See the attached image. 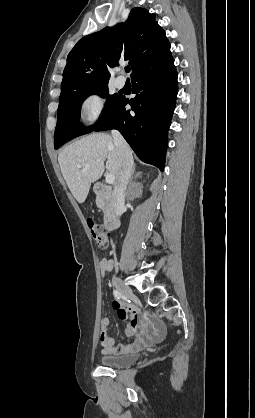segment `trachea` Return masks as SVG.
I'll use <instances>...</instances> for the list:
<instances>
[{"label":"trachea","instance_id":"1","mask_svg":"<svg viewBox=\"0 0 255 418\" xmlns=\"http://www.w3.org/2000/svg\"><path fill=\"white\" fill-rule=\"evenodd\" d=\"M130 71H131L130 66H126V67H125V72H126V73H129Z\"/></svg>","mask_w":255,"mask_h":418}]
</instances>
